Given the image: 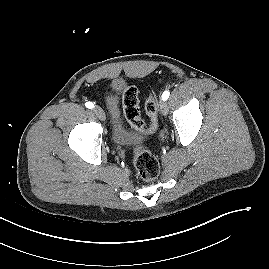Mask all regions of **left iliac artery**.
Here are the masks:
<instances>
[{
	"label": "left iliac artery",
	"mask_w": 269,
	"mask_h": 269,
	"mask_svg": "<svg viewBox=\"0 0 269 269\" xmlns=\"http://www.w3.org/2000/svg\"><path fill=\"white\" fill-rule=\"evenodd\" d=\"M169 95H170L169 91H167V90L164 91L163 94H162V100H167Z\"/></svg>",
	"instance_id": "left-iliac-artery-1"
}]
</instances>
